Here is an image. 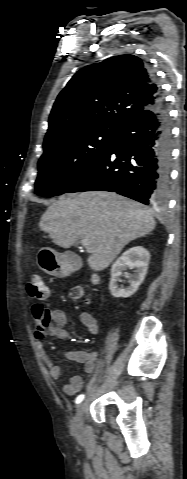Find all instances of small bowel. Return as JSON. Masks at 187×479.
I'll list each match as a JSON object with an SVG mask.
<instances>
[{
	"label": "small bowel",
	"mask_w": 187,
	"mask_h": 479,
	"mask_svg": "<svg viewBox=\"0 0 187 479\" xmlns=\"http://www.w3.org/2000/svg\"><path fill=\"white\" fill-rule=\"evenodd\" d=\"M55 327L52 330V335L61 340H66L70 338V332L65 327L66 325V315L61 310H53L51 312ZM79 320L81 323L88 329V331L96 335L99 333V321L98 318L86 311H81L79 313ZM38 351L40 357L42 358L44 364L48 369L49 376L57 380L61 377V368L54 364L51 357L45 351L42 343L38 344ZM64 357L70 361L81 363L83 365V370L87 374H92L95 370V365L97 361V353L92 351L85 350H73L68 349L64 351ZM83 387V380L80 376H74L71 380L63 385V393L67 396L76 395Z\"/></svg>",
	"instance_id": "obj_1"
}]
</instances>
